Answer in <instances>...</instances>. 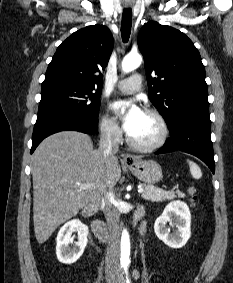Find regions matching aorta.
<instances>
[{"label":"aorta","instance_id":"1","mask_svg":"<svg viewBox=\"0 0 233 283\" xmlns=\"http://www.w3.org/2000/svg\"><path fill=\"white\" fill-rule=\"evenodd\" d=\"M142 63V57L138 53H129L122 61V71L129 73L138 68ZM124 112V109L122 110ZM121 257L120 261L122 265H128L130 262V237L126 229L122 231L120 242Z\"/></svg>","mask_w":233,"mask_h":283}]
</instances>
